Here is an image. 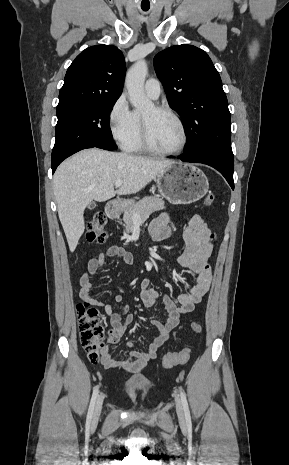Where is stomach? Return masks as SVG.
Returning a JSON list of instances; mask_svg holds the SVG:
<instances>
[{"instance_id": "obj_1", "label": "stomach", "mask_w": 289, "mask_h": 465, "mask_svg": "<svg viewBox=\"0 0 289 465\" xmlns=\"http://www.w3.org/2000/svg\"><path fill=\"white\" fill-rule=\"evenodd\" d=\"M157 187L165 199L175 204H190L204 197L209 189L206 175L191 164L174 163L160 173ZM133 200H124L119 207L133 205Z\"/></svg>"}]
</instances>
